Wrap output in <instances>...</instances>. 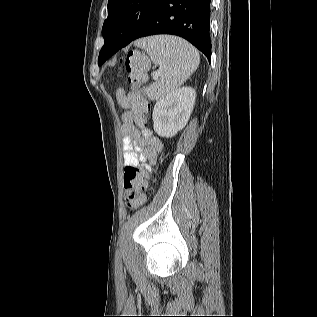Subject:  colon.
<instances>
[{"mask_svg": "<svg viewBox=\"0 0 317 317\" xmlns=\"http://www.w3.org/2000/svg\"><path fill=\"white\" fill-rule=\"evenodd\" d=\"M123 64L128 74V81L137 86L145 80V70L148 62L138 51H129L123 59ZM149 108L145 111L147 112ZM144 123V118L141 119ZM123 185L125 189V200L130 208H138L144 201V190L146 187L145 174L136 166L125 167L123 175Z\"/></svg>", "mask_w": 317, "mask_h": 317, "instance_id": "5ec220e1", "label": "colon"}]
</instances>
